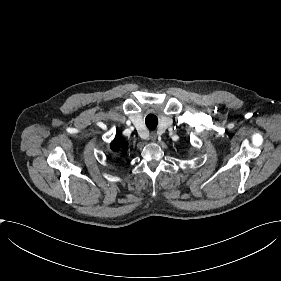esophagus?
Here are the masks:
<instances>
[{"mask_svg": "<svg viewBox=\"0 0 281 281\" xmlns=\"http://www.w3.org/2000/svg\"><path fill=\"white\" fill-rule=\"evenodd\" d=\"M150 140H151L152 142H155V141L157 140V134H156L155 131H152V132L150 133Z\"/></svg>", "mask_w": 281, "mask_h": 281, "instance_id": "obj_1", "label": "esophagus"}]
</instances>
